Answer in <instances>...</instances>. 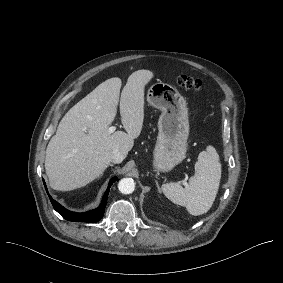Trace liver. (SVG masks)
Instances as JSON below:
<instances>
[{
    "label": "liver",
    "instance_id": "6515ba94",
    "mask_svg": "<svg viewBox=\"0 0 283 283\" xmlns=\"http://www.w3.org/2000/svg\"><path fill=\"white\" fill-rule=\"evenodd\" d=\"M146 70L130 75L120 95L121 80L110 78L76 103L61 119L46 149L45 172L55 190L85 186L110 164L118 150L125 158L141 132L143 86L150 79ZM120 107L126 132L107 130Z\"/></svg>",
    "mask_w": 283,
    "mask_h": 283
}]
</instances>
